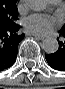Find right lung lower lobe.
I'll return each mask as SVG.
<instances>
[{"label": "right lung lower lobe", "mask_w": 65, "mask_h": 89, "mask_svg": "<svg viewBox=\"0 0 65 89\" xmlns=\"http://www.w3.org/2000/svg\"><path fill=\"white\" fill-rule=\"evenodd\" d=\"M20 25L0 27V71L8 69L16 60L18 45L24 34L18 35Z\"/></svg>", "instance_id": "right-lung-lower-lobe-1"}]
</instances>
